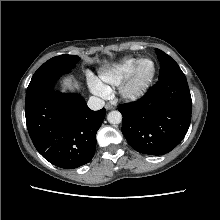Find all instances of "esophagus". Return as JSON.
Returning <instances> with one entry per match:
<instances>
[{"mask_svg":"<svg viewBox=\"0 0 220 220\" xmlns=\"http://www.w3.org/2000/svg\"><path fill=\"white\" fill-rule=\"evenodd\" d=\"M105 108H106L107 110H112V109H114L115 107H114L113 105H111L110 103H107V104L105 105Z\"/></svg>","mask_w":220,"mask_h":220,"instance_id":"34e87169","label":"esophagus"}]
</instances>
